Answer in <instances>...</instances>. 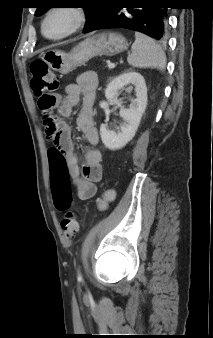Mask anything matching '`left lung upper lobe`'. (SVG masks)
Masks as SVG:
<instances>
[{
    "mask_svg": "<svg viewBox=\"0 0 213 338\" xmlns=\"http://www.w3.org/2000/svg\"><path fill=\"white\" fill-rule=\"evenodd\" d=\"M102 1L103 0H85L84 1V3L88 4L86 7H84L85 12H86V18H87L85 28L89 26L93 22V20L96 18L97 14L100 11ZM39 2H45V1H39ZM48 8L49 7H46V6L37 7L35 16H39L43 14Z\"/></svg>",
    "mask_w": 213,
    "mask_h": 338,
    "instance_id": "obj_1",
    "label": "left lung upper lobe"
}]
</instances>
